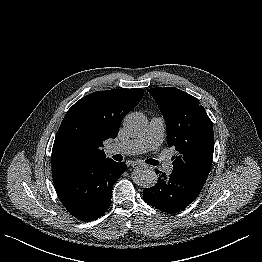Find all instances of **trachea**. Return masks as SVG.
<instances>
[{
    "label": "trachea",
    "instance_id": "obj_1",
    "mask_svg": "<svg viewBox=\"0 0 262 262\" xmlns=\"http://www.w3.org/2000/svg\"><path fill=\"white\" fill-rule=\"evenodd\" d=\"M147 164L153 165V166H157L159 165V161L154 160V159H148L145 161Z\"/></svg>",
    "mask_w": 262,
    "mask_h": 262
}]
</instances>
